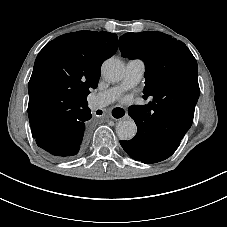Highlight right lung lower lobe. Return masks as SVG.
<instances>
[{"label":"right lung lower lobe","instance_id":"obj_1","mask_svg":"<svg viewBox=\"0 0 227 227\" xmlns=\"http://www.w3.org/2000/svg\"><path fill=\"white\" fill-rule=\"evenodd\" d=\"M92 117L88 103L72 110L70 120L63 127L46 131L40 127H33L32 135L39 147L49 153L55 160H62L76 155L85 141L86 128Z\"/></svg>","mask_w":227,"mask_h":227}]
</instances>
